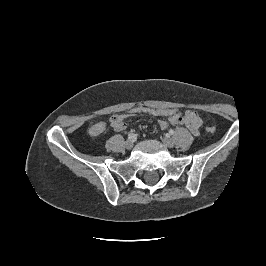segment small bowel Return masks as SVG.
Returning a JSON list of instances; mask_svg holds the SVG:
<instances>
[{"instance_id": "c3829d8e", "label": "small bowel", "mask_w": 266, "mask_h": 266, "mask_svg": "<svg viewBox=\"0 0 266 266\" xmlns=\"http://www.w3.org/2000/svg\"><path fill=\"white\" fill-rule=\"evenodd\" d=\"M201 123L202 122L200 116L192 110L178 112L170 116L166 120H158V124L161 129H166L169 125H183L187 127L194 135H197L199 133ZM110 124L114 130L123 131L126 128L125 117L121 114H117L110 120ZM105 129V122L100 121L93 124L90 127L89 132L92 136H99L105 131Z\"/></svg>"}]
</instances>
